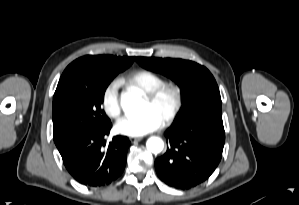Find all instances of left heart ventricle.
Returning a JSON list of instances; mask_svg holds the SVG:
<instances>
[{
  "label": "left heart ventricle",
  "mask_w": 299,
  "mask_h": 205,
  "mask_svg": "<svg viewBox=\"0 0 299 205\" xmlns=\"http://www.w3.org/2000/svg\"><path fill=\"white\" fill-rule=\"evenodd\" d=\"M171 106V99L169 96H165L157 103H150L147 99H144V102L141 107V111L151 109L153 110L161 119L167 114Z\"/></svg>",
  "instance_id": "obj_1"
}]
</instances>
